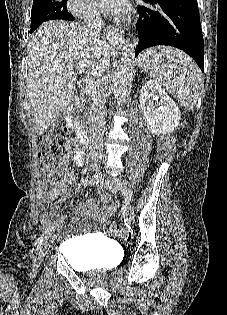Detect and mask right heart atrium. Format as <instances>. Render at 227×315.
Segmentation results:
<instances>
[{
	"mask_svg": "<svg viewBox=\"0 0 227 315\" xmlns=\"http://www.w3.org/2000/svg\"><path fill=\"white\" fill-rule=\"evenodd\" d=\"M68 10L76 18L92 22L98 17V11L91 0H68Z\"/></svg>",
	"mask_w": 227,
	"mask_h": 315,
	"instance_id": "obj_1",
	"label": "right heart atrium"
}]
</instances>
